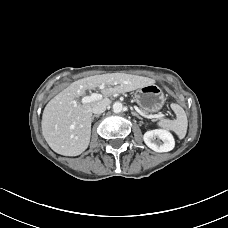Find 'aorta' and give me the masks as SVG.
Masks as SVG:
<instances>
[{
    "label": "aorta",
    "instance_id": "obj_1",
    "mask_svg": "<svg viewBox=\"0 0 228 228\" xmlns=\"http://www.w3.org/2000/svg\"><path fill=\"white\" fill-rule=\"evenodd\" d=\"M123 110V105L120 102H115L113 104V112L114 113H120Z\"/></svg>",
    "mask_w": 228,
    "mask_h": 228
}]
</instances>
